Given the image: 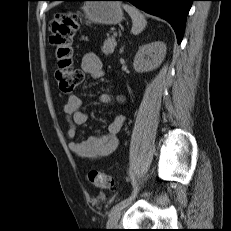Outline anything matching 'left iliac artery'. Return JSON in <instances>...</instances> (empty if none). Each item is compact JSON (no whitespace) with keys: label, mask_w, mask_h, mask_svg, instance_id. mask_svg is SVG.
Listing matches in <instances>:
<instances>
[{"label":"left iliac artery","mask_w":231,"mask_h":231,"mask_svg":"<svg viewBox=\"0 0 231 231\" xmlns=\"http://www.w3.org/2000/svg\"><path fill=\"white\" fill-rule=\"evenodd\" d=\"M132 184L134 187L132 194L128 198H126V199L122 200L121 202H119L118 204H116L112 208L111 212H113L114 210L119 209V208L123 209L127 204H129L135 198V196L137 195V187L135 185L134 179H132Z\"/></svg>","instance_id":"left-iliac-artery-1"}]
</instances>
